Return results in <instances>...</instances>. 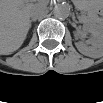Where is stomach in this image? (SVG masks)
Masks as SVG:
<instances>
[{
	"mask_svg": "<svg viewBox=\"0 0 103 103\" xmlns=\"http://www.w3.org/2000/svg\"><path fill=\"white\" fill-rule=\"evenodd\" d=\"M79 6L81 7V9L83 10H87V11H91V4L89 2H80Z\"/></svg>",
	"mask_w": 103,
	"mask_h": 103,
	"instance_id": "obj_1",
	"label": "stomach"
}]
</instances>
